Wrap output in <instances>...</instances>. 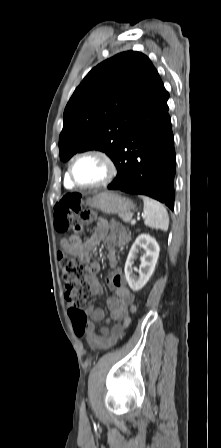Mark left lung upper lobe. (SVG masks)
I'll return each mask as SVG.
<instances>
[{"label": "left lung upper lobe", "mask_w": 221, "mask_h": 448, "mask_svg": "<svg viewBox=\"0 0 221 448\" xmlns=\"http://www.w3.org/2000/svg\"><path fill=\"white\" fill-rule=\"evenodd\" d=\"M165 91L157 70L140 52H122L98 64L65 108L59 136L61 160L93 149L114 160L125 134Z\"/></svg>", "instance_id": "obj_1"}]
</instances>
